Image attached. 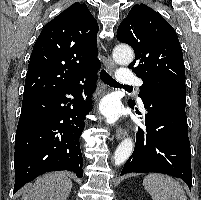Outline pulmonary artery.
Listing matches in <instances>:
<instances>
[{
	"instance_id": "obj_1",
	"label": "pulmonary artery",
	"mask_w": 201,
	"mask_h": 200,
	"mask_svg": "<svg viewBox=\"0 0 201 200\" xmlns=\"http://www.w3.org/2000/svg\"><path fill=\"white\" fill-rule=\"evenodd\" d=\"M117 80L120 84L130 85L139 83V79L127 68H121L117 74Z\"/></svg>"
}]
</instances>
